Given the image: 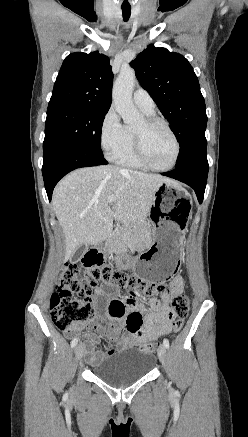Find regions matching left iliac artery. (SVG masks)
Returning a JSON list of instances; mask_svg holds the SVG:
<instances>
[{
  "instance_id": "left-iliac-artery-1",
  "label": "left iliac artery",
  "mask_w": 248,
  "mask_h": 437,
  "mask_svg": "<svg viewBox=\"0 0 248 437\" xmlns=\"http://www.w3.org/2000/svg\"><path fill=\"white\" fill-rule=\"evenodd\" d=\"M163 345L168 349L169 348V340L168 339H164L163 340Z\"/></svg>"
}]
</instances>
